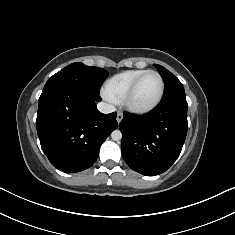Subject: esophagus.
Here are the masks:
<instances>
[{"label":"esophagus","instance_id":"34e87169","mask_svg":"<svg viewBox=\"0 0 235 235\" xmlns=\"http://www.w3.org/2000/svg\"><path fill=\"white\" fill-rule=\"evenodd\" d=\"M122 119H123V113L118 111L117 117H116L117 122L120 123L122 121Z\"/></svg>","mask_w":235,"mask_h":235}]
</instances>
